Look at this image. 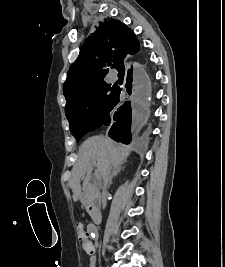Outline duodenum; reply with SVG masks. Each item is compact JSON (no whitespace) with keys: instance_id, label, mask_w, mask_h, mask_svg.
<instances>
[{"instance_id":"1","label":"duodenum","mask_w":225,"mask_h":267,"mask_svg":"<svg viewBox=\"0 0 225 267\" xmlns=\"http://www.w3.org/2000/svg\"><path fill=\"white\" fill-rule=\"evenodd\" d=\"M83 198L86 201V206L89 210V214L93 222L97 223L101 220V212L98 204L95 200H89L88 196L83 194Z\"/></svg>"}]
</instances>
